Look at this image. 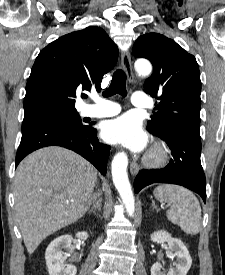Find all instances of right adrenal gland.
<instances>
[{
	"label": "right adrenal gland",
	"mask_w": 225,
	"mask_h": 275,
	"mask_svg": "<svg viewBox=\"0 0 225 275\" xmlns=\"http://www.w3.org/2000/svg\"><path fill=\"white\" fill-rule=\"evenodd\" d=\"M102 207V198L100 195H97V197L93 200V206L89 210V212H94L95 210L101 211Z\"/></svg>",
	"instance_id": "right-adrenal-gland-1"
}]
</instances>
